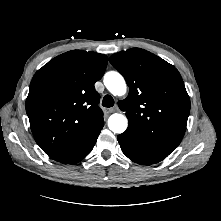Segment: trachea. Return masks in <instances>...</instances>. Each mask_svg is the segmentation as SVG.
<instances>
[{
  "instance_id": "obj_1",
  "label": "trachea",
  "mask_w": 221,
  "mask_h": 221,
  "mask_svg": "<svg viewBox=\"0 0 221 221\" xmlns=\"http://www.w3.org/2000/svg\"><path fill=\"white\" fill-rule=\"evenodd\" d=\"M104 107H112L114 105V99L110 95H105L102 101Z\"/></svg>"
}]
</instances>
